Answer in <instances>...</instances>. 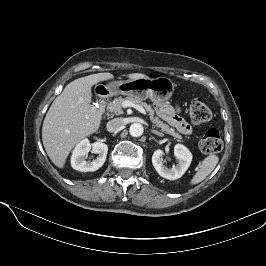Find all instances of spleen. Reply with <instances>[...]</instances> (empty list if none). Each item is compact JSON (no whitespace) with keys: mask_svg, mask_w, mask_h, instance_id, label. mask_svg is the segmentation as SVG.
<instances>
[{"mask_svg":"<svg viewBox=\"0 0 266 266\" xmlns=\"http://www.w3.org/2000/svg\"><path fill=\"white\" fill-rule=\"evenodd\" d=\"M219 157L214 153L209 154L200 164L197 172L190 181L191 185L202 182L216 167Z\"/></svg>","mask_w":266,"mask_h":266,"instance_id":"3e777b00","label":"spleen"}]
</instances>
